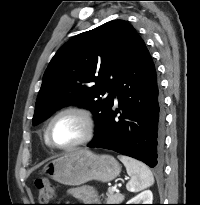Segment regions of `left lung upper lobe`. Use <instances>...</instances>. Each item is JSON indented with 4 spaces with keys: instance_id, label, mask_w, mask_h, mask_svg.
I'll use <instances>...</instances> for the list:
<instances>
[{
    "instance_id": "left-lung-upper-lobe-1",
    "label": "left lung upper lobe",
    "mask_w": 200,
    "mask_h": 205,
    "mask_svg": "<svg viewBox=\"0 0 200 205\" xmlns=\"http://www.w3.org/2000/svg\"><path fill=\"white\" fill-rule=\"evenodd\" d=\"M137 35L128 22L113 20L62 45L45 71L33 124L77 104L94 114L96 136L113 106L114 81Z\"/></svg>"
}]
</instances>
